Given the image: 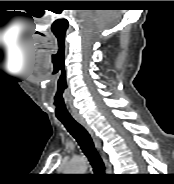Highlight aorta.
Returning a JSON list of instances; mask_svg holds the SVG:
<instances>
[{
    "label": "aorta",
    "instance_id": "aorta-1",
    "mask_svg": "<svg viewBox=\"0 0 174 184\" xmlns=\"http://www.w3.org/2000/svg\"><path fill=\"white\" fill-rule=\"evenodd\" d=\"M87 169V164L83 159H75L72 163L66 168L65 172L67 174H84Z\"/></svg>",
    "mask_w": 174,
    "mask_h": 184
}]
</instances>
